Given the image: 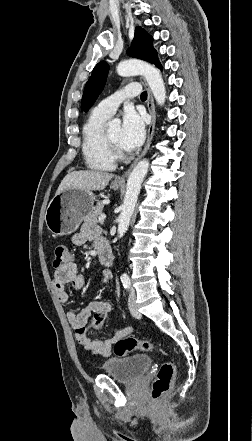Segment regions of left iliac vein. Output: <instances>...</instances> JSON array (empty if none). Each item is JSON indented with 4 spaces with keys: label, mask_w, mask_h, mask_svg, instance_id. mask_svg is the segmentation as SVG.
Returning a JSON list of instances; mask_svg holds the SVG:
<instances>
[{
    "label": "left iliac vein",
    "mask_w": 252,
    "mask_h": 441,
    "mask_svg": "<svg viewBox=\"0 0 252 441\" xmlns=\"http://www.w3.org/2000/svg\"><path fill=\"white\" fill-rule=\"evenodd\" d=\"M129 310L133 317L140 318L141 313L138 311L137 304H136V295L135 291L132 290L130 297H129Z\"/></svg>",
    "instance_id": "obj_1"
}]
</instances>
